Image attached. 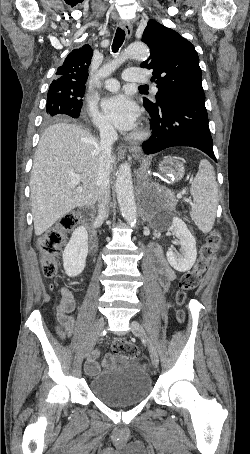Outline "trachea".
<instances>
[{
    "label": "trachea",
    "mask_w": 250,
    "mask_h": 454,
    "mask_svg": "<svg viewBox=\"0 0 250 454\" xmlns=\"http://www.w3.org/2000/svg\"><path fill=\"white\" fill-rule=\"evenodd\" d=\"M124 39H125L124 30L118 27L116 30V33H115L113 44H112V51L114 53H116L119 50V48L122 46ZM140 88L148 89V86L143 85V86H140Z\"/></svg>",
    "instance_id": "1"
}]
</instances>
